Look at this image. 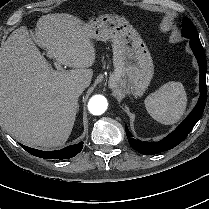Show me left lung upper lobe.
I'll return each mask as SVG.
<instances>
[{"label":"left lung upper lobe","mask_w":209,"mask_h":209,"mask_svg":"<svg viewBox=\"0 0 209 209\" xmlns=\"http://www.w3.org/2000/svg\"><path fill=\"white\" fill-rule=\"evenodd\" d=\"M182 36L189 39H199L195 26L193 25L192 21L187 17H184L183 19Z\"/></svg>","instance_id":"left-lung-upper-lobe-1"}]
</instances>
